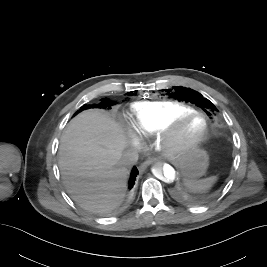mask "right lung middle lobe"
Listing matches in <instances>:
<instances>
[{
    "mask_svg": "<svg viewBox=\"0 0 267 267\" xmlns=\"http://www.w3.org/2000/svg\"><path fill=\"white\" fill-rule=\"evenodd\" d=\"M105 100V99H102ZM112 105V103L108 100H105L103 102H101L98 105H84L80 111L84 110V109H89V108H106V107H110Z\"/></svg>",
    "mask_w": 267,
    "mask_h": 267,
    "instance_id": "1",
    "label": "right lung middle lobe"
}]
</instances>
